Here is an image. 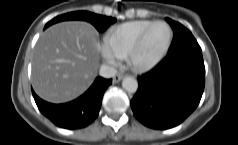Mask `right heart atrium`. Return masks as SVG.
<instances>
[{
  "label": "right heart atrium",
  "mask_w": 238,
  "mask_h": 145,
  "mask_svg": "<svg viewBox=\"0 0 238 145\" xmlns=\"http://www.w3.org/2000/svg\"><path fill=\"white\" fill-rule=\"evenodd\" d=\"M102 55H103L104 60L107 63H109V64H115L116 63V57L108 49H104Z\"/></svg>",
  "instance_id": "right-heart-atrium-1"
}]
</instances>
